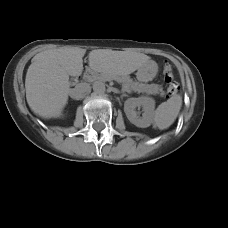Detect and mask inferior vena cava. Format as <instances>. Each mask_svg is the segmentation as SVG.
<instances>
[{
	"instance_id": "602c4592",
	"label": "inferior vena cava",
	"mask_w": 228,
	"mask_h": 228,
	"mask_svg": "<svg viewBox=\"0 0 228 228\" xmlns=\"http://www.w3.org/2000/svg\"><path fill=\"white\" fill-rule=\"evenodd\" d=\"M91 88L87 83H80L71 90V97L75 100H80L90 92Z\"/></svg>"
}]
</instances>
